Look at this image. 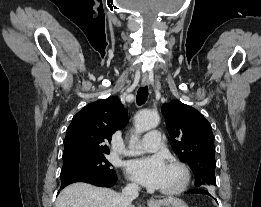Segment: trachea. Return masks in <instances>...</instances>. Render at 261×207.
<instances>
[{
	"label": "trachea",
	"instance_id": "obj_1",
	"mask_svg": "<svg viewBox=\"0 0 261 207\" xmlns=\"http://www.w3.org/2000/svg\"><path fill=\"white\" fill-rule=\"evenodd\" d=\"M148 97V87H141L139 88L136 96V101L138 105H142L146 102Z\"/></svg>",
	"mask_w": 261,
	"mask_h": 207
}]
</instances>
